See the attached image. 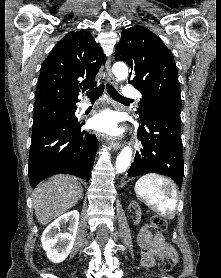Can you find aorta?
<instances>
[{
  "label": "aorta",
  "mask_w": 221,
  "mask_h": 278,
  "mask_svg": "<svg viewBox=\"0 0 221 278\" xmlns=\"http://www.w3.org/2000/svg\"><path fill=\"white\" fill-rule=\"evenodd\" d=\"M113 74L118 80H124L128 76V67L123 62H116L112 67ZM132 157V149L126 146L122 149L116 160V170L123 173L128 168Z\"/></svg>",
  "instance_id": "obj_1"
}]
</instances>
